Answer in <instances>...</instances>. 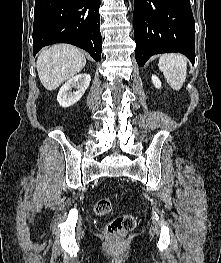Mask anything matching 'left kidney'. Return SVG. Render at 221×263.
I'll return each instance as SVG.
<instances>
[{"label":"left kidney","instance_id":"1","mask_svg":"<svg viewBox=\"0 0 221 263\" xmlns=\"http://www.w3.org/2000/svg\"><path fill=\"white\" fill-rule=\"evenodd\" d=\"M151 79L156 88H161V81L156 75H152Z\"/></svg>","mask_w":221,"mask_h":263}]
</instances>
